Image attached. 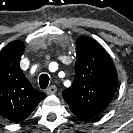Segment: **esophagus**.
I'll return each instance as SVG.
<instances>
[{"instance_id": "obj_1", "label": "esophagus", "mask_w": 133, "mask_h": 133, "mask_svg": "<svg viewBox=\"0 0 133 133\" xmlns=\"http://www.w3.org/2000/svg\"><path fill=\"white\" fill-rule=\"evenodd\" d=\"M57 91V87L55 85H51L46 89L47 94H54Z\"/></svg>"}]
</instances>
